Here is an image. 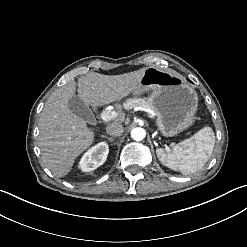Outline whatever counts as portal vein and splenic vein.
I'll list each match as a JSON object with an SVG mask.
<instances>
[{
	"instance_id": "18ae733b",
	"label": "portal vein and splenic vein",
	"mask_w": 247,
	"mask_h": 247,
	"mask_svg": "<svg viewBox=\"0 0 247 247\" xmlns=\"http://www.w3.org/2000/svg\"><path fill=\"white\" fill-rule=\"evenodd\" d=\"M118 116V113L115 111H103L101 113V119L104 121H110L115 119ZM157 145V143H155Z\"/></svg>"
}]
</instances>
